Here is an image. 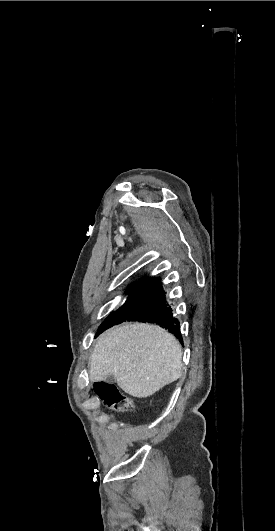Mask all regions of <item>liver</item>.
<instances>
[{
	"label": "liver",
	"mask_w": 275,
	"mask_h": 531,
	"mask_svg": "<svg viewBox=\"0 0 275 531\" xmlns=\"http://www.w3.org/2000/svg\"><path fill=\"white\" fill-rule=\"evenodd\" d=\"M181 347L157 325L127 323L100 335L90 357V381L112 375L131 397L145 399L182 375Z\"/></svg>",
	"instance_id": "6515ba94"
}]
</instances>
